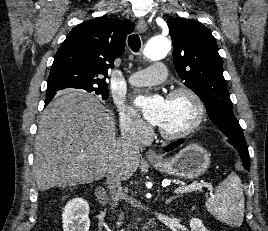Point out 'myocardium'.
<instances>
[{"mask_svg":"<svg viewBox=\"0 0 268 231\" xmlns=\"http://www.w3.org/2000/svg\"><path fill=\"white\" fill-rule=\"evenodd\" d=\"M186 96L189 98L194 106H195V116L193 121L184 129L178 132H166L161 129L159 126L157 127V133L164 139L167 140H177L182 139L190 134H192L199 126L202 124L205 118L206 109L203 100L201 97L192 89L187 87H180L174 90H171L167 95V99H171L174 97Z\"/></svg>","mask_w":268,"mask_h":231,"instance_id":"f54148a6","label":"myocardium"}]
</instances>
